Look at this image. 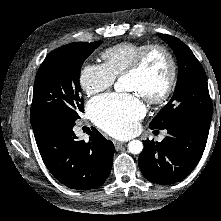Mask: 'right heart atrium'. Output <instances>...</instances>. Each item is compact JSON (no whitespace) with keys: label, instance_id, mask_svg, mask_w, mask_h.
Returning <instances> with one entry per match:
<instances>
[{"label":"right heart atrium","instance_id":"obj_1","mask_svg":"<svg viewBox=\"0 0 221 221\" xmlns=\"http://www.w3.org/2000/svg\"><path fill=\"white\" fill-rule=\"evenodd\" d=\"M114 76L103 64L86 63L81 69L80 85L88 96L96 95L113 86Z\"/></svg>","mask_w":221,"mask_h":221}]
</instances>
